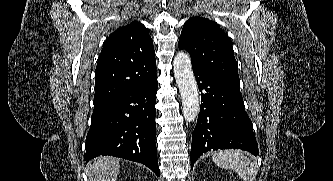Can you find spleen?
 <instances>
[{"mask_svg":"<svg viewBox=\"0 0 333 181\" xmlns=\"http://www.w3.org/2000/svg\"><path fill=\"white\" fill-rule=\"evenodd\" d=\"M212 160L217 166L236 172L243 181H254V164L240 150L218 151L213 155Z\"/></svg>","mask_w":333,"mask_h":181,"instance_id":"1","label":"spleen"}]
</instances>
